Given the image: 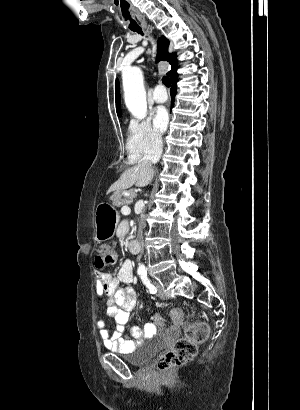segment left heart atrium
<instances>
[{"instance_id": "obj_1", "label": "left heart atrium", "mask_w": 300, "mask_h": 410, "mask_svg": "<svg viewBox=\"0 0 300 410\" xmlns=\"http://www.w3.org/2000/svg\"><path fill=\"white\" fill-rule=\"evenodd\" d=\"M168 119H169V117H168V112H167L166 108L158 107L156 109L155 116H154V125H155V127L160 131L165 130V128L168 124Z\"/></svg>"}]
</instances>
